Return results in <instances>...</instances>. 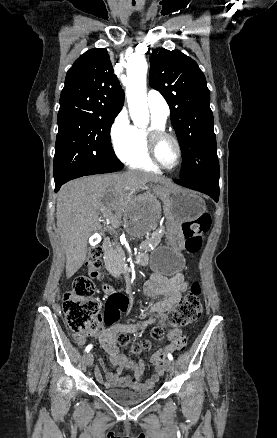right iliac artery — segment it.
Returning <instances> with one entry per match:
<instances>
[{"instance_id":"right-iliac-artery-1","label":"right iliac artery","mask_w":277,"mask_h":438,"mask_svg":"<svg viewBox=\"0 0 277 438\" xmlns=\"http://www.w3.org/2000/svg\"><path fill=\"white\" fill-rule=\"evenodd\" d=\"M92 345L89 344L86 348H85V352H89L92 349Z\"/></svg>"}]
</instances>
